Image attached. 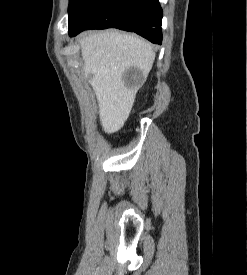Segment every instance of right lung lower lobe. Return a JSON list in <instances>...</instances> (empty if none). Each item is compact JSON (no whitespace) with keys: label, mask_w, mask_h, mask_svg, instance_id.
<instances>
[{"label":"right lung lower lobe","mask_w":247,"mask_h":275,"mask_svg":"<svg viewBox=\"0 0 247 275\" xmlns=\"http://www.w3.org/2000/svg\"><path fill=\"white\" fill-rule=\"evenodd\" d=\"M162 15L158 0H103L79 16L69 35L84 29L118 28L161 44Z\"/></svg>","instance_id":"98d812e1"}]
</instances>
